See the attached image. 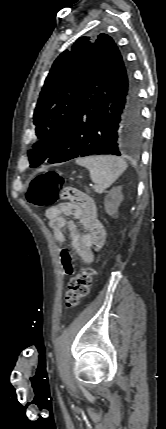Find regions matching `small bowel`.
Segmentation results:
<instances>
[{
  "label": "small bowel",
  "instance_id": "c3829d8e",
  "mask_svg": "<svg viewBox=\"0 0 166 429\" xmlns=\"http://www.w3.org/2000/svg\"><path fill=\"white\" fill-rule=\"evenodd\" d=\"M45 216L49 221V226L53 231L54 239L57 243H63L68 239L65 231H69V238L77 255L85 262L93 260V247L99 249L103 246L106 230L104 225L98 220L96 206L93 201L81 206L73 202L62 203L52 206L45 211ZM67 217L79 219L85 232L80 234L75 225L67 220ZM57 254L66 275L74 273L73 258L70 252L64 248H58Z\"/></svg>",
  "mask_w": 166,
  "mask_h": 429
}]
</instances>
